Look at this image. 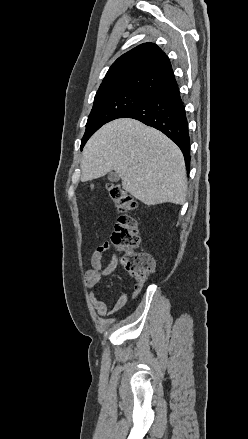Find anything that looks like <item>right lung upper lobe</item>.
Here are the masks:
<instances>
[{"label": "right lung upper lobe", "instance_id": "right-lung-upper-lobe-1", "mask_svg": "<svg viewBox=\"0 0 248 439\" xmlns=\"http://www.w3.org/2000/svg\"><path fill=\"white\" fill-rule=\"evenodd\" d=\"M176 82L167 55L153 43L141 44L109 68L95 98L132 91L151 96Z\"/></svg>", "mask_w": 248, "mask_h": 439}]
</instances>
